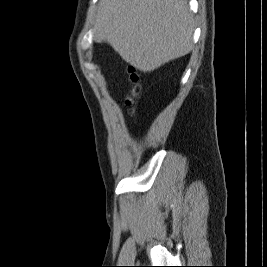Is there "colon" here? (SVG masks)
I'll list each match as a JSON object with an SVG mask.
<instances>
[{
	"instance_id": "obj_1",
	"label": "colon",
	"mask_w": 267,
	"mask_h": 267,
	"mask_svg": "<svg viewBox=\"0 0 267 267\" xmlns=\"http://www.w3.org/2000/svg\"><path fill=\"white\" fill-rule=\"evenodd\" d=\"M127 79L130 84L129 94L126 98V103L132 105L139 96V75L133 67L127 69Z\"/></svg>"
}]
</instances>
